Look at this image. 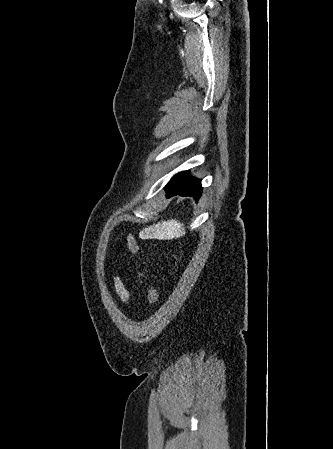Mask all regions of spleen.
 <instances>
[{
  "instance_id": "1",
  "label": "spleen",
  "mask_w": 333,
  "mask_h": 449,
  "mask_svg": "<svg viewBox=\"0 0 333 449\" xmlns=\"http://www.w3.org/2000/svg\"><path fill=\"white\" fill-rule=\"evenodd\" d=\"M185 234L183 223L176 219L161 221L153 226H149L140 232L143 239H172Z\"/></svg>"
}]
</instances>
